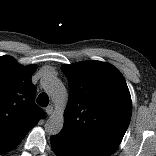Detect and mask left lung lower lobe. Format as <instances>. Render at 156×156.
<instances>
[{"label": "left lung lower lobe", "mask_w": 156, "mask_h": 156, "mask_svg": "<svg viewBox=\"0 0 156 156\" xmlns=\"http://www.w3.org/2000/svg\"><path fill=\"white\" fill-rule=\"evenodd\" d=\"M51 146L57 156H111L112 154L76 141L65 134L59 133L51 137Z\"/></svg>", "instance_id": "obj_1"}]
</instances>
